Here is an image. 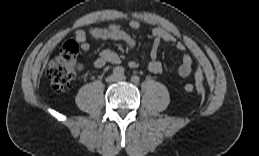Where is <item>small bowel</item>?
I'll return each mask as SVG.
<instances>
[{
	"mask_svg": "<svg viewBox=\"0 0 259 156\" xmlns=\"http://www.w3.org/2000/svg\"><path fill=\"white\" fill-rule=\"evenodd\" d=\"M140 28V22L138 20H130L126 26L120 24H110L106 27H91L88 32L84 30H77L74 33V41L80 45V48L84 51L89 50L90 44L88 42V36L95 39H112L123 41L130 49H133L136 42L130 31H135ZM148 38L152 42V47L150 50V61L148 63V70L154 74H159L163 71V65L158 59V47L161 43H176V48L179 51L185 50V44L180 41H176V38L168 30L155 27L152 28L148 34ZM121 61L120 56L112 49H104L100 52L99 56L94 61V65L97 68L104 67L106 64H119ZM129 67L137 68L139 67V62L131 60L129 62ZM193 59L189 54H184L182 56L181 65L178 69L179 74L182 77H187L192 72Z\"/></svg>",
	"mask_w": 259,
	"mask_h": 156,
	"instance_id": "obj_1",
	"label": "small bowel"
}]
</instances>
